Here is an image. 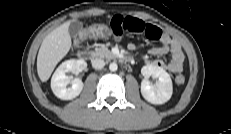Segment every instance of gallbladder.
<instances>
[{
	"label": "gallbladder",
	"instance_id": "obj_1",
	"mask_svg": "<svg viewBox=\"0 0 231 134\" xmlns=\"http://www.w3.org/2000/svg\"><path fill=\"white\" fill-rule=\"evenodd\" d=\"M81 29H82V23L79 21H73L70 23L69 33L72 36H76Z\"/></svg>",
	"mask_w": 231,
	"mask_h": 134
}]
</instances>
